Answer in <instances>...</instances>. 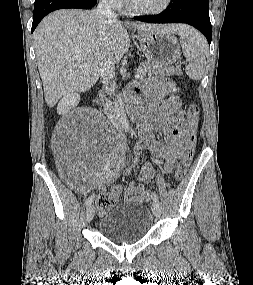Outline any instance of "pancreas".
I'll list each match as a JSON object with an SVG mask.
<instances>
[{
	"label": "pancreas",
	"instance_id": "obj_1",
	"mask_svg": "<svg viewBox=\"0 0 253 285\" xmlns=\"http://www.w3.org/2000/svg\"><path fill=\"white\" fill-rule=\"evenodd\" d=\"M139 70L143 72L145 75L147 74L148 76L158 75V74L160 75H182V70L180 66L167 67V66L149 63V62L142 63ZM109 91L111 93L115 91L114 84L109 88Z\"/></svg>",
	"mask_w": 253,
	"mask_h": 285
}]
</instances>
